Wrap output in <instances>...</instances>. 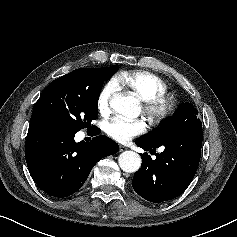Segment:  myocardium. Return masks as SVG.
Segmentation results:
<instances>
[{"instance_id": "1", "label": "myocardium", "mask_w": 237, "mask_h": 237, "mask_svg": "<svg viewBox=\"0 0 237 237\" xmlns=\"http://www.w3.org/2000/svg\"><path fill=\"white\" fill-rule=\"evenodd\" d=\"M176 101L165 94L143 101V112L153 124H159L173 115Z\"/></svg>"}]
</instances>
